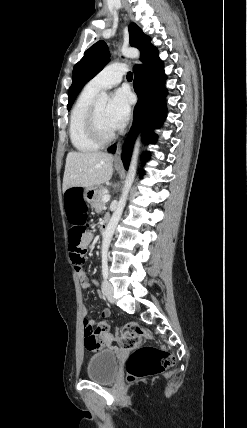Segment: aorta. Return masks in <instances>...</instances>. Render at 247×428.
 <instances>
[{
  "label": "aorta",
  "mask_w": 247,
  "mask_h": 428,
  "mask_svg": "<svg viewBox=\"0 0 247 428\" xmlns=\"http://www.w3.org/2000/svg\"><path fill=\"white\" fill-rule=\"evenodd\" d=\"M125 55L129 58H132V59L138 60L140 58V53L135 48L128 49L125 52ZM107 100H108V95L106 93H102L100 95L99 101L101 103H106ZM139 151H140V135L137 137L135 144H134L132 157H131V161H130L125 185H124V188L122 191V195H121V197L117 203V207L114 210L112 217H111V219H110V221H109V223L105 229L104 235H103V240H102V255L103 256H106L108 253V249H109L112 237L114 235V232H115V229L118 225V222L121 218L123 209H124L125 204H126V200L128 197L129 190H130L132 183L134 181V178L136 175Z\"/></svg>",
  "instance_id": "762f6f07"
}]
</instances>
